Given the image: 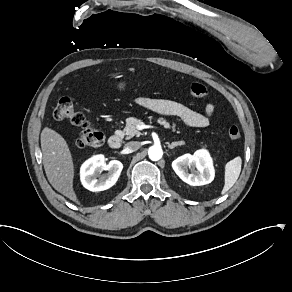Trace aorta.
<instances>
[{"label":"aorta","instance_id":"762f6f07","mask_svg":"<svg viewBox=\"0 0 292 292\" xmlns=\"http://www.w3.org/2000/svg\"><path fill=\"white\" fill-rule=\"evenodd\" d=\"M149 158L153 161H158L162 158L163 151L160 146H151L148 150Z\"/></svg>","mask_w":292,"mask_h":292}]
</instances>
